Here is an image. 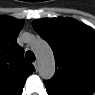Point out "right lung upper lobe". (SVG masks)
Wrapping results in <instances>:
<instances>
[{"instance_id":"cb5924a9","label":"right lung upper lobe","mask_w":95,"mask_h":95,"mask_svg":"<svg viewBox=\"0 0 95 95\" xmlns=\"http://www.w3.org/2000/svg\"><path fill=\"white\" fill-rule=\"evenodd\" d=\"M23 24V20L0 16V95H21L26 79L35 70L16 42Z\"/></svg>"}]
</instances>
